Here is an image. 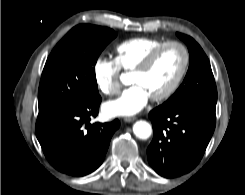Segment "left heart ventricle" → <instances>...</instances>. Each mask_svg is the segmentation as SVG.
Returning a JSON list of instances; mask_svg holds the SVG:
<instances>
[{
    "instance_id": "b2bd125f",
    "label": "left heart ventricle",
    "mask_w": 245,
    "mask_h": 195,
    "mask_svg": "<svg viewBox=\"0 0 245 195\" xmlns=\"http://www.w3.org/2000/svg\"><path fill=\"white\" fill-rule=\"evenodd\" d=\"M182 63V50L177 46L167 47L159 53L147 71L132 74L131 82L141 85L150 97L158 95L172 84Z\"/></svg>"
}]
</instances>
